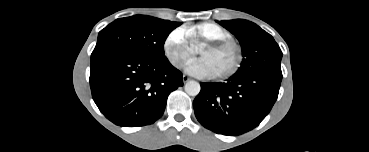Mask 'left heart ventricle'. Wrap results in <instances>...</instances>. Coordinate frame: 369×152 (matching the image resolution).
Wrapping results in <instances>:
<instances>
[{
	"label": "left heart ventricle",
	"mask_w": 369,
	"mask_h": 152,
	"mask_svg": "<svg viewBox=\"0 0 369 152\" xmlns=\"http://www.w3.org/2000/svg\"><path fill=\"white\" fill-rule=\"evenodd\" d=\"M200 59L205 60L213 73V76L228 71L236 60V51L232 46H226L216 50L203 49L199 52Z\"/></svg>",
	"instance_id": "b2bd125f"
}]
</instances>
